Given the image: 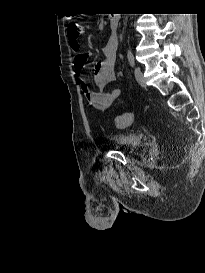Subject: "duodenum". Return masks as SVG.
I'll return each mask as SVG.
<instances>
[{
	"mask_svg": "<svg viewBox=\"0 0 205 273\" xmlns=\"http://www.w3.org/2000/svg\"><path fill=\"white\" fill-rule=\"evenodd\" d=\"M119 16L115 13L112 14L109 18V23L112 28H116L118 25ZM116 40V37H114V41Z\"/></svg>",
	"mask_w": 205,
	"mask_h": 273,
	"instance_id": "410a0bca",
	"label": "duodenum"
}]
</instances>
